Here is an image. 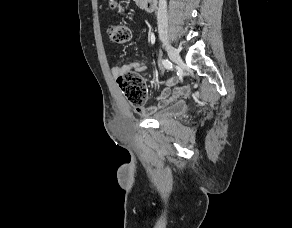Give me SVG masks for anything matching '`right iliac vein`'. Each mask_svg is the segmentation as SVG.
I'll return each mask as SVG.
<instances>
[{
  "instance_id": "right-iliac-vein-1",
  "label": "right iliac vein",
  "mask_w": 292,
  "mask_h": 228,
  "mask_svg": "<svg viewBox=\"0 0 292 228\" xmlns=\"http://www.w3.org/2000/svg\"><path fill=\"white\" fill-rule=\"evenodd\" d=\"M164 48L167 51L169 58L178 66L182 67L183 62L179 55V52L174 47H172L169 43H164Z\"/></svg>"
}]
</instances>
